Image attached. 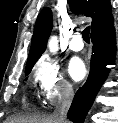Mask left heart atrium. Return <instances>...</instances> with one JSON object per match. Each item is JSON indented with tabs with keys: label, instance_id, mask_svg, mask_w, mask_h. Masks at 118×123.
Masks as SVG:
<instances>
[{
	"label": "left heart atrium",
	"instance_id": "left-heart-atrium-1",
	"mask_svg": "<svg viewBox=\"0 0 118 123\" xmlns=\"http://www.w3.org/2000/svg\"><path fill=\"white\" fill-rule=\"evenodd\" d=\"M68 73L74 81H80L86 75L83 61L77 57L72 58L68 64Z\"/></svg>",
	"mask_w": 118,
	"mask_h": 123
}]
</instances>
